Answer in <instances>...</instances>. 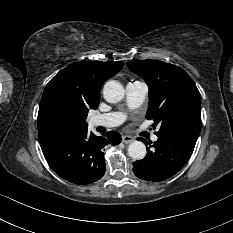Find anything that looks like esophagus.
I'll list each match as a JSON object with an SVG mask.
<instances>
[{
    "label": "esophagus",
    "instance_id": "34e87169",
    "mask_svg": "<svg viewBox=\"0 0 233 233\" xmlns=\"http://www.w3.org/2000/svg\"><path fill=\"white\" fill-rule=\"evenodd\" d=\"M133 141H134V138L132 136H129V135H123L122 136V142L123 143L128 144V143H131Z\"/></svg>",
    "mask_w": 233,
    "mask_h": 233
}]
</instances>
